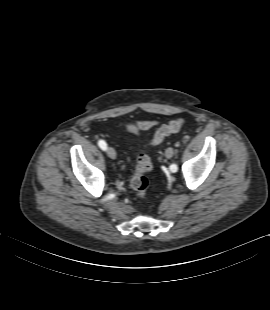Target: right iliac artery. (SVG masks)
I'll list each match as a JSON object with an SVG mask.
<instances>
[{
	"instance_id": "1",
	"label": "right iliac artery",
	"mask_w": 270,
	"mask_h": 310,
	"mask_svg": "<svg viewBox=\"0 0 270 310\" xmlns=\"http://www.w3.org/2000/svg\"><path fill=\"white\" fill-rule=\"evenodd\" d=\"M98 145L102 150H106L107 149V144L104 140H99L98 141Z\"/></svg>"
}]
</instances>
